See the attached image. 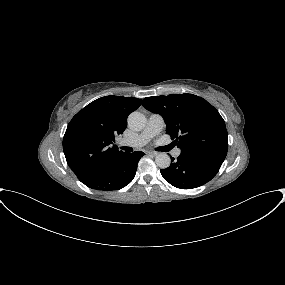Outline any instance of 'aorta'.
<instances>
[{
  "label": "aorta",
  "mask_w": 285,
  "mask_h": 285,
  "mask_svg": "<svg viewBox=\"0 0 285 285\" xmlns=\"http://www.w3.org/2000/svg\"><path fill=\"white\" fill-rule=\"evenodd\" d=\"M146 117L143 113L134 111L128 117V125L136 131L144 129L146 126ZM156 165L161 169H166L170 166L171 159L168 154L160 153L155 157Z\"/></svg>",
  "instance_id": "762f6f07"
}]
</instances>
